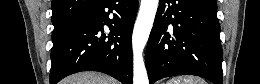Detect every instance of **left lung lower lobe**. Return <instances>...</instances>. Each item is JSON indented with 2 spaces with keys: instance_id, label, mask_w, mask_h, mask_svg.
I'll return each mask as SVG.
<instances>
[{
  "instance_id": "obj_1",
  "label": "left lung lower lobe",
  "mask_w": 260,
  "mask_h": 84,
  "mask_svg": "<svg viewBox=\"0 0 260 84\" xmlns=\"http://www.w3.org/2000/svg\"><path fill=\"white\" fill-rule=\"evenodd\" d=\"M215 0H160L146 50L150 84L191 74L222 84V47Z\"/></svg>"
}]
</instances>
